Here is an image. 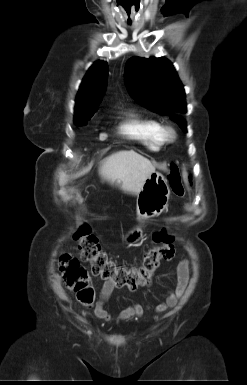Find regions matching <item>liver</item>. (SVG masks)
<instances>
[{"instance_id": "obj_1", "label": "liver", "mask_w": 247, "mask_h": 385, "mask_svg": "<svg viewBox=\"0 0 247 385\" xmlns=\"http://www.w3.org/2000/svg\"><path fill=\"white\" fill-rule=\"evenodd\" d=\"M155 172L153 164L133 150L119 151L107 157L100 165V176L113 184H121L125 192L137 195L146 179ZM81 201V199H80Z\"/></svg>"}]
</instances>
